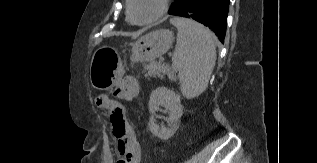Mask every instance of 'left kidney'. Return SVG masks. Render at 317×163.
I'll use <instances>...</instances> for the list:
<instances>
[{
	"instance_id": "5707ae66",
	"label": "left kidney",
	"mask_w": 317,
	"mask_h": 163,
	"mask_svg": "<svg viewBox=\"0 0 317 163\" xmlns=\"http://www.w3.org/2000/svg\"><path fill=\"white\" fill-rule=\"evenodd\" d=\"M148 106L151 113L148 123L149 130L154 136L162 140L169 139L179 128L180 118L183 115L180 95L166 87H158L152 91ZM159 107L165 108V112L169 114L170 125L168 128H160L156 124L154 115L156 111L160 110Z\"/></svg>"
}]
</instances>
